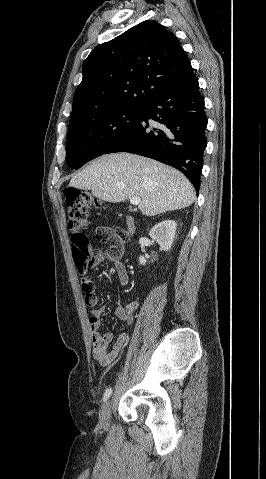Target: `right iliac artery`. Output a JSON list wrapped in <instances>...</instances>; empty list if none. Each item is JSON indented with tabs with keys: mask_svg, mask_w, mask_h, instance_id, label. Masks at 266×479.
I'll list each match as a JSON object with an SVG mask.
<instances>
[{
	"mask_svg": "<svg viewBox=\"0 0 266 479\" xmlns=\"http://www.w3.org/2000/svg\"><path fill=\"white\" fill-rule=\"evenodd\" d=\"M111 394H112V388H107L103 396V401L106 402L108 398L111 396Z\"/></svg>",
	"mask_w": 266,
	"mask_h": 479,
	"instance_id": "obj_1",
	"label": "right iliac artery"
}]
</instances>
